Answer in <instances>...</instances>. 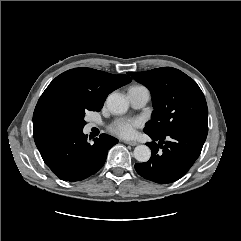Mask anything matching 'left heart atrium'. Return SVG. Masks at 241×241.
Wrapping results in <instances>:
<instances>
[{"label":"left heart atrium","mask_w":241,"mask_h":241,"mask_svg":"<svg viewBox=\"0 0 241 241\" xmlns=\"http://www.w3.org/2000/svg\"><path fill=\"white\" fill-rule=\"evenodd\" d=\"M141 124L140 120L122 118L116 120L110 127V131L120 137L130 138L135 134V130Z\"/></svg>","instance_id":"1"}]
</instances>
